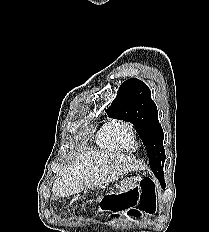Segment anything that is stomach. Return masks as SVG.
Wrapping results in <instances>:
<instances>
[{
	"mask_svg": "<svg viewBox=\"0 0 209 232\" xmlns=\"http://www.w3.org/2000/svg\"><path fill=\"white\" fill-rule=\"evenodd\" d=\"M140 180V177H129L127 179H124L120 182V184L117 186L118 192L125 191L129 188L135 187Z\"/></svg>",
	"mask_w": 209,
	"mask_h": 232,
	"instance_id": "0dacf381",
	"label": "stomach"
}]
</instances>
